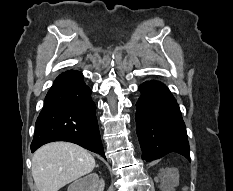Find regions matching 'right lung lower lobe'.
<instances>
[{
    "label": "right lung lower lobe",
    "mask_w": 233,
    "mask_h": 191,
    "mask_svg": "<svg viewBox=\"0 0 233 191\" xmlns=\"http://www.w3.org/2000/svg\"><path fill=\"white\" fill-rule=\"evenodd\" d=\"M95 110L82 74L74 70L60 74L37 118L31 152L49 142L68 141L106 158Z\"/></svg>",
    "instance_id": "right-lung-lower-lobe-1"
}]
</instances>
